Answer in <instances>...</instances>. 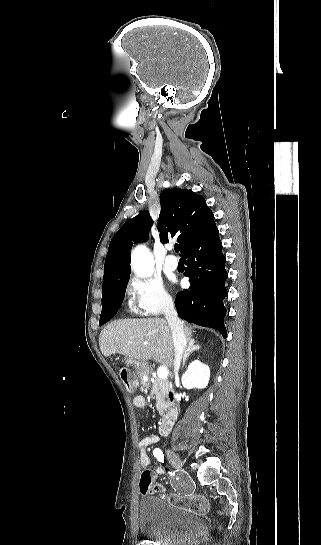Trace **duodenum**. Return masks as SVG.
I'll return each instance as SVG.
<instances>
[{"mask_svg": "<svg viewBox=\"0 0 321 545\" xmlns=\"http://www.w3.org/2000/svg\"><path fill=\"white\" fill-rule=\"evenodd\" d=\"M178 416V410L171 408L161 419L159 425V433L161 435H168L174 425V422Z\"/></svg>", "mask_w": 321, "mask_h": 545, "instance_id": "410a0bca", "label": "duodenum"}]
</instances>
